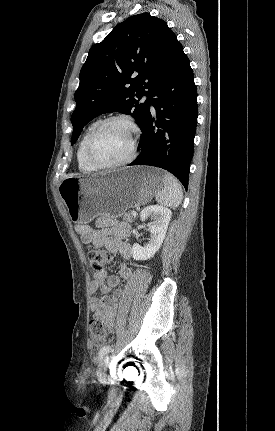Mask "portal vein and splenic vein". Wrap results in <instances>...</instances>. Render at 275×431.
Returning <instances> with one entry per match:
<instances>
[{"mask_svg": "<svg viewBox=\"0 0 275 431\" xmlns=\"http://www.w3.org/2000/svg\"><path fill=\"white\" fill-rule=\"evenodd\" d=\"M131 213H132V215H134V216H136V215H137V212H136L135 210H133Z\"/></svg>", "mask_w": 275, "mask_h": 431, "instance_id": "obj_1", "label": "portal vein and splenic vein"}]
</instances>
